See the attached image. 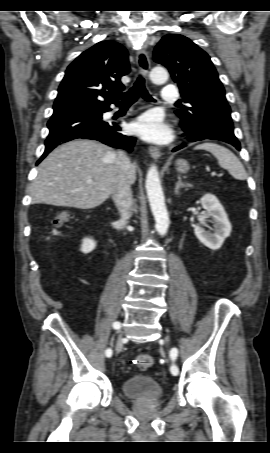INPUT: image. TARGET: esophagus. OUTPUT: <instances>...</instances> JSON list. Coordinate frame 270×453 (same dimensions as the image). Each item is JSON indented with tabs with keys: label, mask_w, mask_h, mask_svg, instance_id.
<instances>
[{
	"label": "esophagus",
	"mask_w": 270,
	"mask_h": 453,
	"mask_svg": "<svg viewBox=\"0 0 270 453\" xmlns=\"http://www.w3.org/2000/svg\"><path fill=\"white\" fill-rule=\"evenodd\" d=\"M136 62H137L138 71L142 75L146 76L150 70V59L145 50L141 49V50L137 51ZM148 152L153 159L158 160L161 157L160 149L155 146H150L148 148Z\"/></svg>",
	"instance_id": "1"
}]
</instances>
